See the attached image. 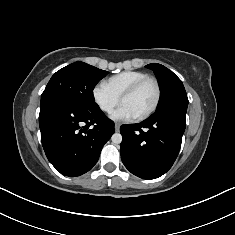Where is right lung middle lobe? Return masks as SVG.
<instances>
[{
    "instance_id": "dd1d6c3e",
    "label": "right lung middle lobe",
    "mask_w": 235,
    "mask_h": 235,
    "mask_svg": "<svg viewBox=\"0 0 235 235\" xmlns=\"http://www.w3.org/2000/svg\"><path fill=\"white\" fill-rule=\"evenodd\" d=\"M107 73L84 62L72 63L51 77L41 95L40 106L52 103L76 108L96 106L93 89Z\"/></svg>"
}]
</instances>
